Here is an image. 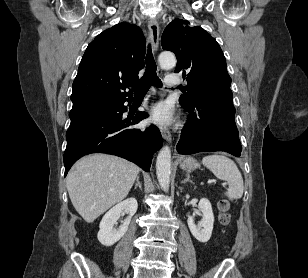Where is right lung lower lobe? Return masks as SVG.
Masks as SVG:
<instances>
[{"mask_svg": "<svg viewBox=\"0 0 308 278\" xmlns=\"http://www.w3.org/2000/svg\"><path fill=\"white\" fill-rule=\"evenodd\" d=\"M131 100L126 101L130 103ZM126 101L70 117L64 153L65 176L76 160L90 153L117 155L149 171L153 153L162 146V137L154 125L145 129L129 128L148 115L138 112L123 119L122 115L127 111Z\"/></svg>", "mask_w": 308, "mask_h": 278, "instance_id": "98d812e1", "label": "right lung lower lobe"}]
</instances>
